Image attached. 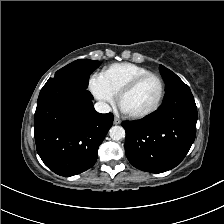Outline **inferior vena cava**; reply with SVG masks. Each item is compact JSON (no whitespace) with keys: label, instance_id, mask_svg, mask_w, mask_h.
Segmentation results:
<instances>
[{"label":"inferior vena cava","instance_id":"1","mask_svg":"<svg viewBox=\"0 0 224 224\" xmlns=\"http://www.w3.org/2000/svg\"><path fill=\"white\" fill-rule=\"evenodd\" d=\"M95 110L99 113H109L111 111V107L103 101H99L94 105Z\"/></svg>","mask_w":224,"mask_h":224}]
</instances>
